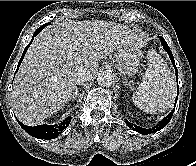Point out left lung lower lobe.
<instances>
[{"label": "left lung lower lobe", "instance_id": "left-lung-lower-lobe-1", "mask_svg": "<svg viewBox=\"0 0 196 166\" xmlns=\"http://www.w3.org/2000/svg\"><path fill=\"white\" fill-rule=\"evenodd\" d=\"M160 40H161V43L163 45L164 50L168 53V55H169V57H170V59H171V61L173 63V66H174V68L176 70V79L178 80V72H177V68L175 66V61H174V57L172 55V52H171L168 44L164 40V38L160 36ZM177 99H178V96L176 98L174 106H176ZM174 110H175V107H174L173 111L170 114H168L162 121H160L156 126H154L151 129H145V128L139 127V126L134 125L133 123L128 122V121H125V123L128 125L129 128L133 129L134 131H137V132H139L141 134L147 135V134L159 131L162 128H164L169 123V121L171 120V117L173 115Z\"/></svg>", "mask_w": 196, "mask_h": 166}]
</instances>
